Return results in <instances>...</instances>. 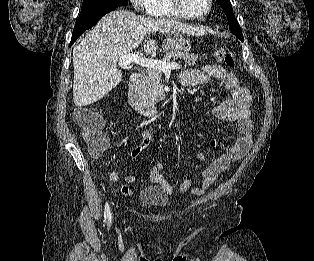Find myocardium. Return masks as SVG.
I'll return each mask as SVG.
<instances>
[{
    "instance_id": "1",
    "label": "myocardium",
    "mask_w": 314,
    "mask_h": 261,
    "mask_svg": "<svg viewBox=\"0 0 314 261\" xmlns=\"http://www.w3.org/2000/svg\"><path fill=\"white\" fill-rule=\"evenodd\" d=\"M170 4L174 9H176L180 14L189 19H202L209 15L213 9L214 0H208V8L202 14H192L183 5L181 0H169Z\"/></svg>"
}]
</instances>
